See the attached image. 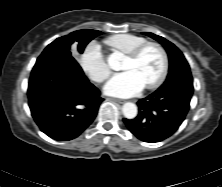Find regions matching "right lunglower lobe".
Returning <instances> with one entry per match:
<instances>
[{"label":"right lung lower lobe","instance_id":"right-lung-lower-lobe-1","mask_svg":"<svg viewBox=\"0 0 222 187\" xmlns=\"http://www.w3.org/2000/svg\"><path fill=\"white\" fill-rule=\"evenodd\" d=\"M28 100L41 131L67 141L93 122L104 99L71 54L45 49L31 72Z\"/></svg>","mask_w":222,"mask_h":187}]
</instances>
